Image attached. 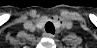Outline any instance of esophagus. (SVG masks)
I'll return each mask as SVG.
<instances>
[{
    "label": "esophagus",
    "mask_w": 97,
    "mask_h": 48,
    "mask_svg": "<svg viewBox=\"0 0 97 48\" xmlns=\"http://www.w3.org/2000/svg\"><path fill=\"white\" fill-rule=\"evenodd\" d=\"M43 36L46 38H53L54 37V35L51 33H44Z\"/></svg>",
    "instance_id": "34e87169"
}]
</instances>
